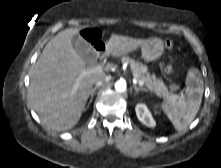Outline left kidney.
<instances>
[{"mask_svg": "<svg viewBox=\"0 0 221 168\" xmlns=\"http://www.w3.org/2000/svg\"><path fill=\"white\" fill-rule=\"evenodd\" d=\"M137 118L141 123L148 127H154L156 125L150 111L145 104H137L135 107Z\"/></svg>", "mask_w": 221, "mask_h": 168, "instance_id": "1", "label": "left kidney"}]
</instances>
